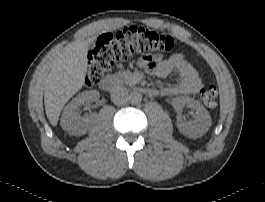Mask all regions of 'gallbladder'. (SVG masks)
Instances as JSON below:
<instances>
[{
	"mask_svg": "<svg viewBox=\"0 0 265 202\" xmlns=\"http://www.w3.org/2000/svg\"><path fill=\"white\" fill-rule=\"evenodd\" d=\"M94 48V43H90L89 44V49H93Z\"/></svg>",
	"mask_w": 265,
	"mask_h": 202,
	"instance_id": "gallbladder-1",
	"label": "gallbladder"
}]
</instances>
